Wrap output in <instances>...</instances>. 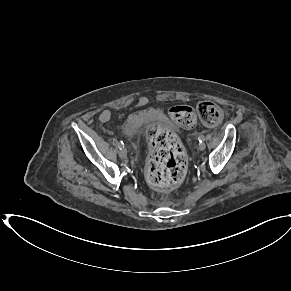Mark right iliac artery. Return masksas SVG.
Returning a JSON list of instances; mask_svg holds the SVG:
<instances>
[{
	"mask_svg": "<svg viewBox=\"0 0 291 291\" xmlns=\"http://www.w3.org/2000/svg\"><path fill=\"white\" fill-rule=\"evenodd\" d=\"M118 147H119L120 149H121V147H124L122 141L119 142Z\"/></svg>",
	"mask_w": 291,
	"mask_h": 291,
	"instance_id": "obj_1",
	"label": "right iliac artery"
}]
</instances>
